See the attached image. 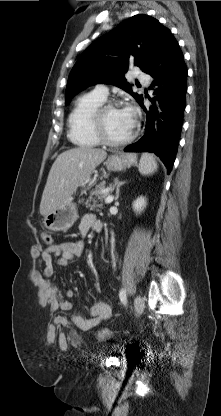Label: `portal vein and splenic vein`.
Instances as JSON below:
<instances>
[{
    "instance_id": "18ae733b",
    "label": "portal vein and splenic vein",
    "mask_w": 221,
    "mask_h": 416,
    "mask_svg": "<svg viewBox=\"0 0 221 416\" xmlns=\"http://www.w3.org/2000/svg\"><path fill=\"white\" fill-rule=\"evenodd\" d=\"M113 199H114L113 195H108L105 199V203H111L113 201Z\"/></svg>"
}]
</instances>
